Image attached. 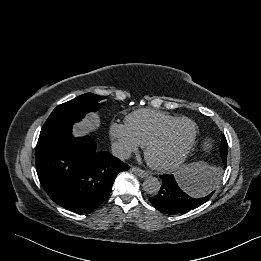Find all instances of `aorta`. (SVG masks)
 <instances>
[{"instance_id": "762f6f07", "label": "aorta", "mask_w": 261, "mask_h": 261, "mask_svg": "<svg viewBox=\"0 0 261 261\" xmlns=\"http://www.w3.org/2000/svg\"><path fill=\"white\" fill-rule=\"evenodd\" d=\"M161 182L154 176L147 177L143 182V189L147 194L156 195L160 191Z\"/></svg>"}]
</instances>
